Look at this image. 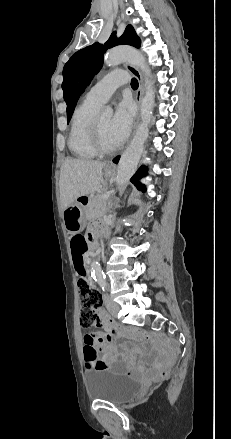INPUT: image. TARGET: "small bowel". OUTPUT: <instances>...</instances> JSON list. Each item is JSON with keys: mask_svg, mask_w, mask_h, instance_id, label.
I'll return each mask as SVG.
<instances>
[{"mask_svg": "<svg viewBox=\"0 0 231 439\" xmlns=\"http://www.w3.org/2000/svg\"><path fill=\"white\" fill-rule=\"evenodd\" d=\"M76 238H81L84 240L82 236H77ZM92 238L93 234L90 233L88 236V240L90 241ZM86 249L87 247L83 249L82 243L80 242L78 245V250L76 252V246L73 240L71 241L72 257L77 266H83V256ZM96 321L97 325L102 327L104 331L87 333L83 336L82 352L85 364L86 353L93 352L94 359L90 368H95L96 362L100 361L106 364V367L104 369H112L114 371H124L130 373L132 367L134 366V359L128 352L119 351L115 347L111 332L112 324L106 312L102 308H99L96 312ZM98 353L101 354L100 359H97Z\"/></svg>", "mask_w": 231, "mask_h": 439, "instance_id": "obj_1", "label": "small bowel"}]
</instances>
